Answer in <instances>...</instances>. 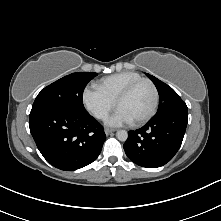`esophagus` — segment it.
Here are the masks:
<instances>
[{
  "mask_svg": "<svg viewBox=\"0 0 221 221\" xmlns=\"http://www.w3.org/2000/svg\"><path fill=\"white\" fill-rule=\"evenodd\" d=\"M105 134L106 135H109L110 133L114 132L115 130L114 129H111V128H105Z\"/></svg>",
  "mask_w": 221,
  "mask_h": 221,
  "instance_id": "1",
  "label": "esophagus"
}]
</instances>
